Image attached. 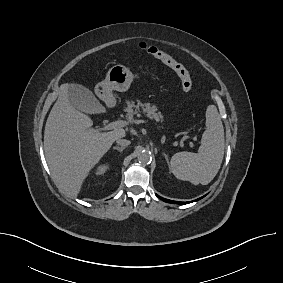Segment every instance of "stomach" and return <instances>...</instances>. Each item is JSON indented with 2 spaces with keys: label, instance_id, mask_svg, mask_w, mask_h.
<instances>
[{
  "label": "stomach",
  "instance_id": "stomach-1",
  "mask_svg": "<svg viewBox=\"0 0 283 283\" xmlns=\"http://www.w3.org/2000/svg\"><path fill=\"white\" fill-rule=\"evenodd\" d=\"M135 77H137V75H134L124 65H115L109 69L105 80L95 86V93L106 103L112 104L115 101L112 91H127Z\"/></svg>",
  "mask_w": 283,
  "mask_h": 283
}]
</instances>
